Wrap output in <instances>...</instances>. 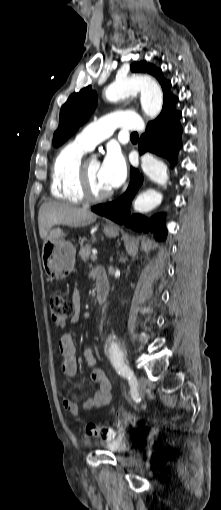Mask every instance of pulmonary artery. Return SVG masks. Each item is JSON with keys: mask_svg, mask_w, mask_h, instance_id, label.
Masks as SVG:
<instances>
[{"mask_svg": "<svg viewBox=\"0 0 221 510\" xmlns=\"http://www.w3.org/2000/svg\"><path fill=\"white\" fill-rule=\"evenodd\" d=\"M116 128L141 131L144 124L138 114L134 112H113L88 124L76 135L75 141L91 150L108 138Z\"/></svg>", "mask_w": 221, "mask_h": 510, "instance_id": "e3ab8cb5", "label": "pulmonary artery"}]
</instances>
